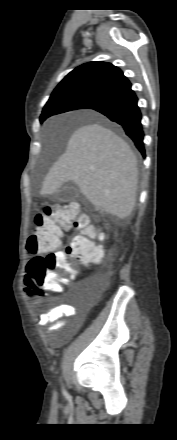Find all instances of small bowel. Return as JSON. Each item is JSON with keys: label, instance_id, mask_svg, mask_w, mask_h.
Masks as SVG:
<instances>
[{"label": "small bowel", "instance_id": "obj_1", "mask_svg": "<svg viewBox=\"0 0 177 440\" xmlns=\"http://www.w3.org/2000/svg\"><path fill=\"white\" fill-rule=\"evenodd\" d=\"M26 273H27L26 277H30L32 274L30 269H27ZM45 287L47 288V286ZM75 317H78L77 309L71 305L63 304L53 307L47 312L41 314L39 317V323L42 326H48L49 332H58L62 329H68V332L66 334L56 339L57 343H61L68 339L70 334L79 327L80 323L83 320V317H80L76 323L71 324L66 319V318H75Z\"/></svg>", "mask_w": 177, "mask_h": 440}]
</instances>
